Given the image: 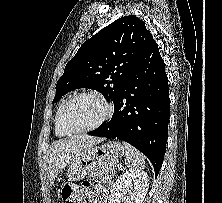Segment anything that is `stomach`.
Instances as JSON below:
<instances>
[{"label": "stomach", "mask_w": 222, "mask_h": 203, "mask_svg": "<svg viewBox=\"0 0 222 203\" xmlns=\"http://www.w3.org/2000/svg\"><path fill=\"white\" fill-rule=\"evenodd\" d=\"M124 154L125 149L118 141H110L102 146L88 148L71 161L68 169V180H80L92 172L100 162L117 160Z\"/></svg>", "instance_id": "obj_1"}]
</instances>
